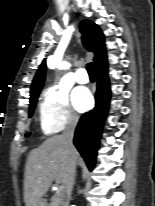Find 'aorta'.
Instances as JSON below:
<instances>
[{"label":"aorta","mask_w":155,"mask_h":206,"mask_svg":"<svg viewBox=\"0 0 155 206\" xmlns=\"http://www.w3.org/2000/svg\"><path fill=\"white\" fill-rule=\"evenodd\" d=\"M70 67V64L66 61L62 62L61 64L58 65L59 69H68Z\"/></svg>","instance_id":"1"}]
</instances>
